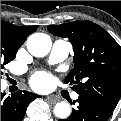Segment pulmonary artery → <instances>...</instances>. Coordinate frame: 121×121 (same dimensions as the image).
I'll return each instance as SVG.
<instances>
[{
	"instance_id": "pulmonary-artery-1",
	"label": "pulmonary artery",
	"mask_w": 121,
	"mask_h": 121,
	"mask_svg": "<svg viewBox=\"0 0 121 121\" xmlns=\"http://www.w3.org/2000/svg\"><path fill=\"white\" fill-rule=\"evenodd\" d=\"M73 47L72 44L66 40L58 39L53 43V46L51 48L49 57H48V63L50 65L58 64L65 59L68 58V56L72 53ZM73 99H78V94L73 93L72 95Z\"/></svg>"
}]
</instances>
